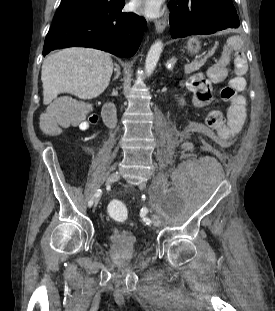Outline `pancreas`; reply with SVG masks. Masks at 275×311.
I'll return each instance as SVG.
<instances>
[{
	"label": "pancreas",
	"mask_w": 275,
	"mask_h": 311,
	"mask_svg": "<svg viewBox=\"0 0 275 311\" xmlns=\"http://www.w3.org/2000/svg\"><path fill=\"white\" fill-rule=\"evenodd\" d=\"M203 61H204V59H201L200 61H197L196 63H193L190 66H187L186 67V73H190L192 71H195L198 68V66L203 63Z\"/></svg>",
	"instance_id": "obj_1"
}]
</instances>
